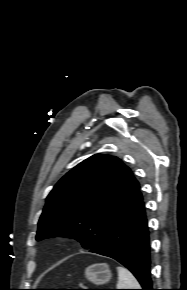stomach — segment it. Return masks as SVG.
I'll list each match as a JSON object with an SVG mask.
<instances>
[{
    "label": "stomach",
    "mask_w": 187,
    "mask_h": 290,
    "mask_svg": "<svg viewBox=\"0 0 187 290\" xmlns=\"http://www.w3.org/2000/svg\"><path fill=\"white\" fill-rule=\"evenodd\" d=\"M111 276L110 268L105 263L90 265L85 270V277L95 285L106 284L111 279Z\"/></svg>",
    "instance_id": "stomach-1"
}]
</instances>
